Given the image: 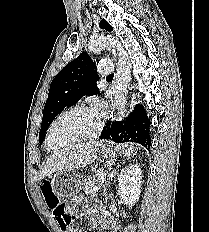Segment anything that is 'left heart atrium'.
I'll return each mask as SVG.
<instances>
[{"instance_id":"1","label":"left heart atrium","mask_w":209,"mask_h":232,"mask_svg":"<svg viewBox=\"0 0 209 232\" xmlns=\"http://www.w3.org/2000/svg\"><path fill=\"white\" fill-rule=\"evenodd\" d=\"M93 111L98 117H103L106 114V105L102 100H95L93 103Z\"/></svg>"}]
</instances>
